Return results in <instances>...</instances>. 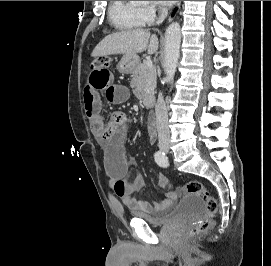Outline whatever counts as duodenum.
Wrapping results in <instances>:
<instances>
[{"mask_svg": "<svg viewBox=\"0 0 271 266\" xmlns=\"http://www.w3.org/2000/svg\"><path fill=\"white\" fill-rule=\"evenodd\" d=\"M146 101L149 104H153L155 102V97L154 96H147Z\"/></svg>", "mask_w": 271, "mask_h": 266, "instance_id": "410a0bca", "label": "duodenum"}]
</instances>
